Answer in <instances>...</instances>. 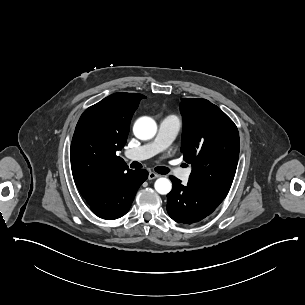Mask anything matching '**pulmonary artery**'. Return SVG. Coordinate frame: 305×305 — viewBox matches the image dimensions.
I'll use <instances>...</instances> for the list:
<instances>
[{
    "label": "pulmonary artery",
    "mask_w": 305,
    "mask_h": 305,
    "mask_svg": "<svg viewBox=\"0 0 305 305\" xmlns=\"http://www.w3.org/2000/svg\"><path fill=\"white\" fill-rule=\"evenodd\" d=\"M179 131V121L174 116H167L160 120L159 127L155 138L128 153V158L140 159L142 157H152L166 148L174 141ZM168 168L173 175L188 180L192 172V168L177 170L173 162L168 164Z\"/></svg>",
    "instance_id": "pulmonary-artery-1"
}]
</instances>
